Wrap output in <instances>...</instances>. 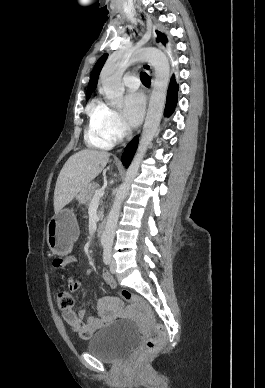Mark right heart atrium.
Returning a JSON list of instances; mask_svg holds the SVG:
<instances>
[{
  "label": "right heart atrium",
  "instance_id": "right-heart-atrium-1",
  "mask_svg": "<svg viewBox=\"0 0 265 388\" xmlns=\"http://www.w3.org/2000/svg\"><path fill=\"white\" fill-rule=\"evenodd\" d=\"M99 115L102 130L110 138L122 139L129 134V127L122 116L107 104L101 103Z\"/></svg>",
  "mask_w": 265,
  "mask_h": 388
}]
</instances>
